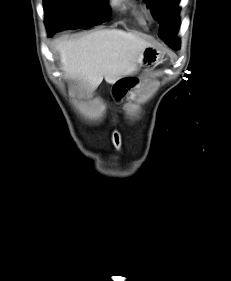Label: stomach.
<instances>
[{"label":"stomach","instance_id":"obj_1","mask_svg":"<svg viewBox=\"0 0 231 281\" xmlns=\"http://www.w3.org/2000/svg\"><path fill=\"white\" fill-rule=\"evenodd\" d=\"M161 60V53L154 47H147L141 56L140 65L150 66L159 63Z\"/></svg>","mask_w":231,"mask_h":281}]
</instances>
